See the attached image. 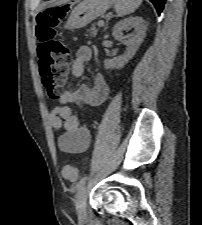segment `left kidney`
I'll return each instance as SVG.
<instances>
[{"instance_id":"obj_1","label":"left kidney","mask_w":202,"mask_h":225,"mask_svg":"<svg viewBox=\"0 0 202 225\" xmlns=\"http://www.w3.org/2000/svg\"><path fill=\"white\" fill-rule=\"evenodd\" d=\"M128 28H134V33L128 39L123 37L122 31ZM147 30V23L142 17H128L119 21L113 29V37L127 46L126 52L113 59H106L104 65L106 69H121L130 59H132L143 42Z\"/></svg>"}]
</instances>
